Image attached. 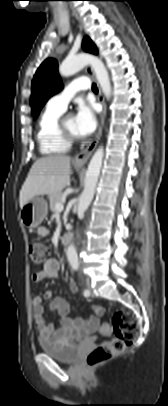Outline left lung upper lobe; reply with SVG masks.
Here are the masks:
<instances>
[{"label": "left lung upper lobe", "instance_id": "1", "mask_svg": "<svg viewBox=\"0 0 168 406\" xmlns=\"http://www.w3.org/2000/svg\"><path fill=\"white\" fill-rule=\"evenodd\" d=\"M83 49L89 53H98L96 46L88 36L83 40ZM62 89L63 85L57 71V61L52 58L46 59L32 80V114L37 117L47 100Z\"/></svg>", "mask_w": 168, "mask_h": 406}]
</instances>
